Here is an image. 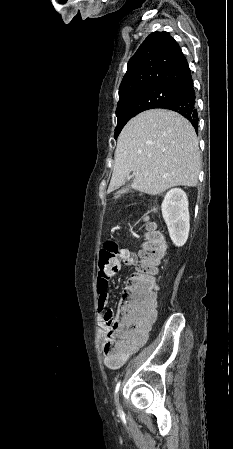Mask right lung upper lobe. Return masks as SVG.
I'll return each instance as SVG.
<instances>
[{
    "label": "right lung upper lobe",
    "instance_id": "1",
    "mask_svg": "<svg viewBox=\"0 0 233 449\" xmlns=\"http://www.w3.org/2000/svg\"><path fill=\"white\" fill-rule=\"evenodd\" d=\"M191 80L187 60L178 43L168 32H153L128 62L119 97L156 85L178 88Z\"/></svg>",
    "mask_w": 233,
    "mask_h": 449
}]
</instances>
